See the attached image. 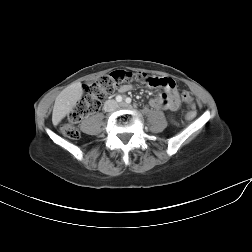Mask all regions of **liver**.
Listing matches in <instances>:
<instances>
[{
  "instance_id": "liver-1",
  "label": "liver",
  "mask_w": 252,
  "mask_h": 252,
  "mask_svg": "<svg viewBox=\"0 0 252 252\" xmlns=\"http://www.w3.org/2000/svg\"><path fill=\"white\" fill-rule=\"evenodd\" d=\"M82 94L83 90L80 82L72 83L60 92L56 97L52 113V122L54 125L59 124L72 111L81 99Z\"/></svg>"
}]
</instances>
